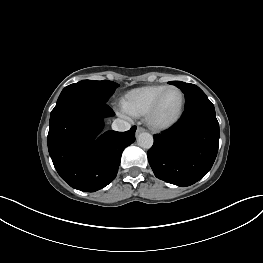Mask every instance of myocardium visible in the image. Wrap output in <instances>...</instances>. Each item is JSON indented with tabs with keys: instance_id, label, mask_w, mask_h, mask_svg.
I'll return each instance as SVG.
<instances>
[{
	"instance_id": "1",
	"label": "myocardium",
	"mask_w": 263,
	"mask_h": 263,
	"mask_svg": "<svg viewBox=\"0 0 263 263\" xmlns=\"http://www.w3.org/2000/svg\"><path fill=\"white\" fill-rule=\"evenodd\" d=\"M177 90L179 91V93L181 94V98H182V102H181V106L180 109L178 111V113L171 118L168 121L165 122H159L156 120V113L159 109V106L164 98V96L166 95V93L170 90ZM185 106H186V96L183 92V90L177 86L174 85H170L167 86L154 100V102L152 103L151 107L149 108L147 114L145 115V121L147 123V125L154 129V130H165L170 128L171 126H173L174 124H176L182 117L184 110H185Z\"/></svg>"
}]
</instances>
